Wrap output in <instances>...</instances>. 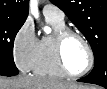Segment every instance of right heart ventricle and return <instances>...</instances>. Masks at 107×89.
<instances>
[{"label":"right heart ventricle","mask_w":107,"mask_h":89,"mask_svg":"<svg viewBox=\"0 0 107 89\" xmlns=\"http://www.w3.org/2000/svg\"><path fill=\"white\" fill-rule=\"evenodd\" d=\"M48 24L53 32L42 36L39 39L35 61L32 71L36 75L48 76L53 78H63L65 74L59 68L54 54L53 38L56 32L66 28L64 21L46 17Z\"/></svg>","instance_id":"1"}]
</instances>
